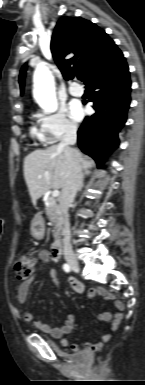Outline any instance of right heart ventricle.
Wrapping results in <instances>:
<instances>
[{
	"label": "right heart ventricle",
	"mask_w": 145,
	"mask_h": 385,
	"mask_svg": "<svg viewBox=\"0 0 145 385\" xmlns=\"http://www.w3.org/2000/svg\"><path fill=\"white\" fill-rule=\"evenodd\" d=\"M31 134H32L34 137H37V138H39V139H41V140H42V138H43L41 131H38L35 127H32V128H31Z\"/></svg>",
	"instance_id": "right-heart-ventricle-1"
}]
</instances>
